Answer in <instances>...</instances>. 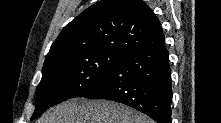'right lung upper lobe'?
<instances>
[{
    "mask_svg": "<svg viewBox=\"0 0 221 123\" xmlns=\"http://www.w3.org/2000/svg\"><path fill=\"white\" fill-rule=\"evenodd\" d=\"M164 43L160 21L142 0H101L63 28L44 63L85 50L129 54Z\"/></svg>",
    "mask_w": 221,
    "mask_h": 123,
    "instance_id": "obj_1",
    "label": "right lung upper lobe"
}]
</instances>
